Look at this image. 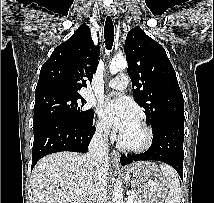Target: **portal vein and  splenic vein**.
Listing matches in <instances>:
<instances>
[{"label":"portal vein and splenic vein","mask_w":214,"mask_h":203,"mask_svg":"<svg viewBox=\"0 0 214 203\" xmlns=\"http://www.w3.org/2000/svg\"><path fill=\"white\" fill-rule=\"evenodd\" d=\"M127 203H134L131 194L128 195Z\"/></svg>","instance_id":"portal-vein-and-splenic-vein-1"}]
</instances>
